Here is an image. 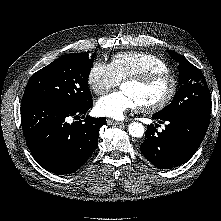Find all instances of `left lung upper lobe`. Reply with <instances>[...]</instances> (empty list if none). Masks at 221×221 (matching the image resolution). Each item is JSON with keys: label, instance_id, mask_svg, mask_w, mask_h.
<instances>
[{"label": "left lung upper lobe", "instance_id": "obj_1", "mask_svg": "<svg viewBox=\"0 0 221 221\" xmlns=\"http://www.w3.org/2000/svg\"><path fill=\"white\" fill-rule=\"evenodd\" d=\"M179 63L180 88L173 101L155 113L161 117L211 112V96L202 72L178 53L168 50Z\"/></svg>", "mask_w": 221, "mask_h": 221}]
</instances>
